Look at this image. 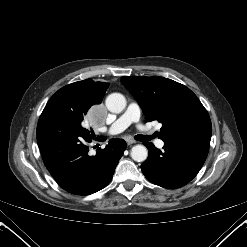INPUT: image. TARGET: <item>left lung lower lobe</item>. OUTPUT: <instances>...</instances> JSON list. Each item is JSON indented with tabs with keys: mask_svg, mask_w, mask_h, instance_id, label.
Returning a JSON list of instances; mask_svg holds the SVG:
<instances>
[{
	"mask_svg": "<svg viewBox=\"0 0 247 247\" xmlns=\"http://www.w3.org/2000/svg\"><path fill=\"white\" fill-rule=\"evenodd\" d=\"M211 135L191 134L164 141L163 150L152 143L144 145L148 158L141 165L145 177L164 188H180L190 182L204 164Z\"/></svg>",
	"mask_w": 247,
	"mask_h": 247,
	"instance_id": "1",
	"label": "left lung lower lobe"
}]
</instances>
